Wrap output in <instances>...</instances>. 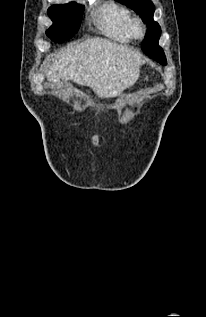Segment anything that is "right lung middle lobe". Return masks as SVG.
Instances as JSON below:
<instances>
[{
	"instance_id": "dd1d6c3e",
	"label": "right lung middle lobe",
	"mask_w": 206,
	"mask_h": 317,
	"mask_svg": "<svg viewBox=\"0 0 206 317\" xmlns=\"http://www.w3.org/2000/svg\"><path fill=\"white\" fill-rule=\"evenodd\" d=\"M83 9L75 3L51 6L47 13L53 25L46 31L47 36L55 43L70 39L78 31Z\"/></svg>"
}]
</instances>
